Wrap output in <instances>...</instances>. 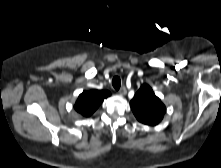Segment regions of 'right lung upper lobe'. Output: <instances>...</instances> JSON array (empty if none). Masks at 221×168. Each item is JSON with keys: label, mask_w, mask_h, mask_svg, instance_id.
Listing matches in <instances>:
<instances>
[{"label": "right lung upper lobe", "mask_w": 221, "mask_h": 168, "mask_svg": "<svg viewBox=\"0 0 221 168\" xmlns=\"http://www.w3.org/2000/svg\"><path fill=\"white\" fill-rule=\"evenodd\" d=\"M111 93L107 90L83 91L75 103V110L83 116H91L105 98Z\"/></svg>", "instance_id": "cb5924a9"}]
</instances>
